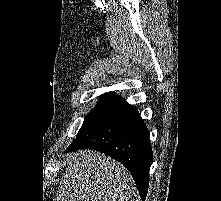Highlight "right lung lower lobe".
<instances>
[{
    "instance_id": "right-lung-lower-lobe-1",
    "label": "right lung lower lobe",
    "mask_w": 221,
    "mask_h": 201,
    "mask_svg": "<svg viewBox=\"0 0 221 201\" xmlns=\"http://www.w3.org/2000/svg\"><path fill=\"white\" fill-rule=\"evenodd\" d=\"M94 149L121 162L132 174L142 200L149 184L153 153L139 113L120 96L112 97L84 125L65 150Z\"/></svg>"
}]
</instances>
